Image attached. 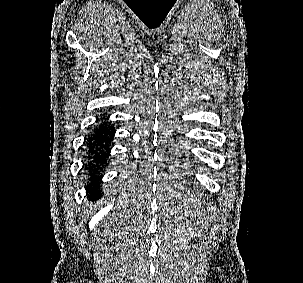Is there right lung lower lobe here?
Here are the masks:
<instances>
[{"label": "right lung lower lobe", "instance_id": "right-lung-lower-lobe-1", "mask_svg": "<svg viewBox=\"0 0 303 283\" xmlns=\"http://www.w3.org/2000/svg\"><path fill=\"white\" fill-rule=\"evenodd\" d=\"M114 127H109L106 124H101L96 128L95 132L91 135L90 142L88 144L89 152V165L88 171L91 179L96 180L99 168L106 163L108 158V144L113 140ZM91 182L90 199L92 201L101 198L102 194L99 190L97 182Z\"/></svg>", "mask_w": 303, "mask_h": 283}]
</instances>
